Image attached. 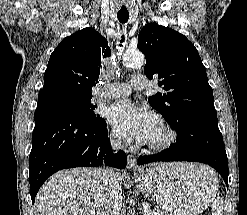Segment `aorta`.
Returning a JSON list of instances; mask_svg holds the SVG:
<instances>
[{"mask_svg":"<svg viewBox=\"0 0 247 215\" xmlns=\"http://www.w3.org/2000/svg\"><path fill=\"white\" fill-rule=\"evenodd\" d=\"M144 55L141 52H127L123 56V64L127 67L140 68L144 64Z\"/></svg>","mask_w":247,"mask_h":215,"instance_id":"1","label":"aorta"}]
</instances>
